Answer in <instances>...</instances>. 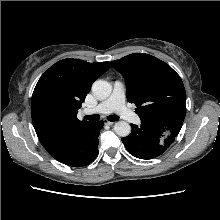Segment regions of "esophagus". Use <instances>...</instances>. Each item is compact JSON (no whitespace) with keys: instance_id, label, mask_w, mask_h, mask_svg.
<instances>
[{"instance_id":"34e87169","label":"esophagus","mask_w":220,"mask_h":220,"mask_svg":"<svg viewBox=\"0 0 220 220\" xmlns=\"http://www.w3.org/2000/svg\"><path fill=\"white\" fill-rule=\"evenodd\" d=\"M114 123H115V122L105 121V124H106V125H110V126L113 125Z\"/></svg>"}]
</instances>
